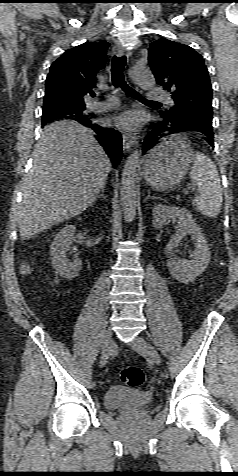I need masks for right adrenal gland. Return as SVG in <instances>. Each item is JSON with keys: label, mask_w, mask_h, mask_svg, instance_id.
Masks as SVG:
<instances>
[{"label": "right adrenal gland", "mask_w": 238, "mask_h": 476, "mask_svg": "<svg viewBox=\"0 0 238 476\" xmlns=\"http://www.w3.org/2000/svg\"><path fill=\"white\" fill-rule=\"evenodd\" d=\"M104 190H105V188L101 189V193L96 197V199L93 203H95L97 201V199L100 198V197H102L103 199H106V197L104 196Z\"/></svg>", "instance_id": "right-adrenal-gland-1"}]
</instances>
